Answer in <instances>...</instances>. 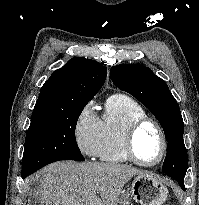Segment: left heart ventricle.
<instances>
[{
    "label": "left heart ventricle",
    "instance_id": "obj_1",
    "mask_svg": "<svg viewBox=\"0 0 199 205\" xmlns=\"http://www.w3.org/2000/svg\"><path fill=\"white\" fill-rule=\"evenodd\" d=\"M162 143L158 131L151 125L141 128L135 138V151L140 160L154 162L161 153Z\"/></svg>",
    "mask_w": 199,
    "mask_h": 205
}]
</instances>
